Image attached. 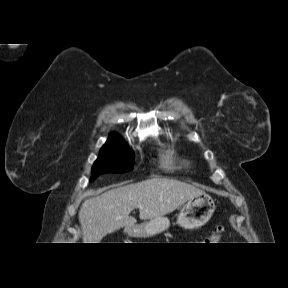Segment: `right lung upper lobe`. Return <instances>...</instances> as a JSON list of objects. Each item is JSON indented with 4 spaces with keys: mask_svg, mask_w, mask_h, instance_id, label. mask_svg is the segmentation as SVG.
Wrapping results in <instances>:
<instances>
[{
    "mask_svg": "<svg viewBox=\"0 0 288 288\" xmlns=\"http://www.w3.org/2000/svg\"><path fill=\"white\" fill-rule=\"evenodd\" d=\"M117 139L122 140V138L118 134L112 133L110 134L108 141L117 140Z\"/></svg>",
    "mask_w": 288,
    "mask_h": 288,
    "instance_id": "obj_1",
    "label": "right lung upper lobe"
}]
</instances>
